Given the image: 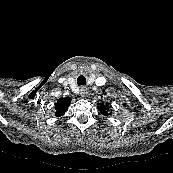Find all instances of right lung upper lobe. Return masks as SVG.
I'll list each match as a JSON object with an SVG mask.
<instances>
[{
	"instance_id": "right-lung-upper-lobe-1",
	"label": "right lung upper lobe",
	"mask_w": 173,
	"mask_h": 173,
	"mask_svg": "<svg viewBox=\"0 0 173 173\" xmlns=\"http://www.w3.org/2000/svg\"><path fill=\"white\" fill-rule=\"evenodd\" d=\"M70 103H71V99L69 97L59 99L58 102L55 104V109H56L55 115L57 117H61L67 110Z\"/></svg>"
}]
</instances>
